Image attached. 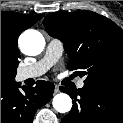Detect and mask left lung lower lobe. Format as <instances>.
I'll use <instances>...</instances> for the list:
<instances>
[{"label": "left lung lower lobe", "instance_id": "0a47b994", "mask_svg": "<svg viewBox=\"0 0 123 123\" xmlns=\"http://www.w3.org/2000/svg\"><path fill=\"white\" fill-rule=\"evenodd\" d=\"M60 90L74 99L61 123H123V87L84 83L78 90Z\"/></svg>", "mask_w": 123, "mask_h": 123}]
</instances>
